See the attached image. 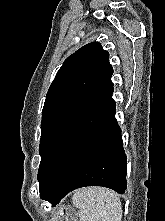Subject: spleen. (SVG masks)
<instances>
[{
    "label": "spleen",
    "mask_w": 165,
    "mask_h": 221,
    "mask_svg": "<svg viewBox=\"0 0 165 221\" xmlns=\"http://www.w3.org/2000/svg\"><path fill=\"white\" fill-rule=\"evenodd\" d=\"M73 204L79 208L80 221H121L122 207L118 195L109 189L88 187L77 190Z\"/></svg>",
    "instance_id": "obj_1"
}]
</instances>
